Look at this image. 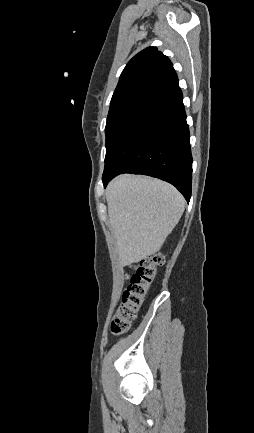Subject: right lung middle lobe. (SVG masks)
Segmentation results:
<instances>
[{"mask_svg": "<svg viewBox=\"0 0 254 433\" xmlns=\"http://www.w3.org/2000/svg\"><path fill=\"white\" fill-rule=\"evenodd\" d=\"M141 101H130L114 106H110L107 123L105 128L106 134V157L105 164L112 153L121 131L129 118L144 104Z\"/></svg>", "mask_w": 254, "mask_h": 433, "instance_id": "obj_1", "label": "right lung middle lobe"}]
</instances>
